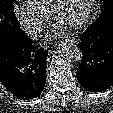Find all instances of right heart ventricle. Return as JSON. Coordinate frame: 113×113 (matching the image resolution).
<instances>
[{
	"instance_id": "1",
	"label": "right heart ventricle",
	"mask_w": 113,
	"mask_h": 113,
	"mask_svg": "<svg viewBox=\"0 0 113 113\" xmlns=\"http://www.w3.org/2000/svg\"><path fill=\"white\" fill-rule=\"evenodd\" d=\"M54 0H25L26 4L48 16Z\"/></svg>"
}]
</instances>
